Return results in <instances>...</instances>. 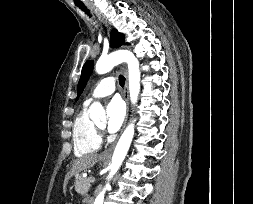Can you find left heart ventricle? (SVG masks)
Listing matches in <instances>:
<instances>
[{
	"mask_svg": "<svg viewBox=\"0 0 253 204\" xmlns=\"http://www.w3.org/2000/svg\"><path fill=\"white\" fill-rule=\"evenodd\" d=\"M97 125L100 126V127H102L104 125V123L103 122H99V123H97Z\"/></svg>",
	"mask_w": 253,
	"mask_h": 204,
	"instance_id": "left-heart-ventricle-1",
	"label": "left heart ventricle"
}]
</instances>
